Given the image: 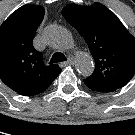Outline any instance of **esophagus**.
I'll use <instances>...</instances> for the list:
<instances>
[{"mask_svg":"<svg viewBox=\"0 0 135 135\" xmlns=\"http://www.w3.org/2000/svg\"><path fill=\"white\" fill-rule=\"evenodd\" d=\"M73 63H74V59L72 57H69L68 60L62 64L63 65H72Z\"/></svg>","mask_w":135,"mask_h":135,"instance_id":"obj_1","label":"esophagus"}]
</instances>
